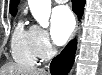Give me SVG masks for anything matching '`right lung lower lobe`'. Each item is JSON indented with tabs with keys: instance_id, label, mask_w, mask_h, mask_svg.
Here are the masks:
<instances>
[{
	"instance_id": "obj_1",
	"label": "right lung lower lobe",
	"mask_w": 102,
	"mask_h": 75,
	"mask_svg": "<svg viewBox=\"0 0 102 75\" xmlns=\"http://www.w3.org/2000/svg\"><path fill=\"white\" fill-rule=\"evenodd\" d=\"M73 11L81 18L84 10L85 0H72ZM76 39L64 48V50L53 59L50 71L52 75H66L74 62Z\"/></svg>"
}]
</instances>
